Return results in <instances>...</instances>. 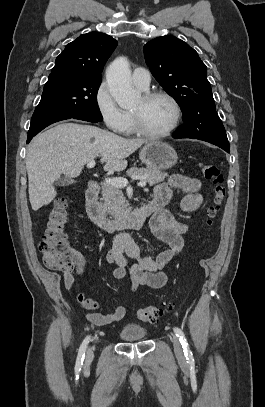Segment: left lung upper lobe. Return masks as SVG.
Returning a JSON list of instances; mask_svg holds the SVG:
<instances>
[{"label":"left lung upper lobe","mask_w":265,"mask_h":407,"mask_svg":"<svg viewBox=\"0 0 265 407\" xmlns=\"http://www.w3.org/2000/svg\"><path fill=\"white\" fill-rule=\"evenodd\" d=\"M144 56L153 76L182 110L184 124L173 136L229 146L206 65L197 52L174 36H161L145 44Z\"/></svg>","instance_id":"1"}]
</instances>
